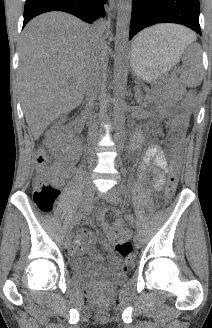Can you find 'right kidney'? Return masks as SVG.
Returning <instances> with one entry per match:
<instances>
[{
  "mask_svg": "<svg viewBox=\"0 0 212 328\" xmlns=\"http://www.w3.org/2000/svg\"><path fill=\"white\" fill-rule=\"evenodd\" d=\"M61 128H62V122L61 121L56 123V125L53 128V131L56 133V138H58L59 140H61L62 137L65 136V134L63 132H61Z\"/></svg>",
  "mask_w": 212,
  "mask_h": 328,
  "instance_id": "right-kidney-1",
  "label": "right kidney"
}]
</instances>
